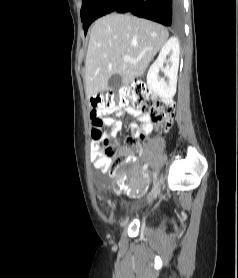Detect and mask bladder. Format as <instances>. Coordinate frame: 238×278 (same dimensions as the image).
Listing matches in <instances>:
<instances>
[{"label": "bladder", "instance_id": "1", "mask_svg": "<svg viewBox=\"0 0 238 278\" xmlns=\"http://www.w3.org/2000/svg\"><path fill=\"white\" fill-rule=\"evenodd\" d=\"M143 178V176H141L139 179L141 180Z\"/></svg>", "mask_w": 238, "mask_h": 278}]
</instances>
